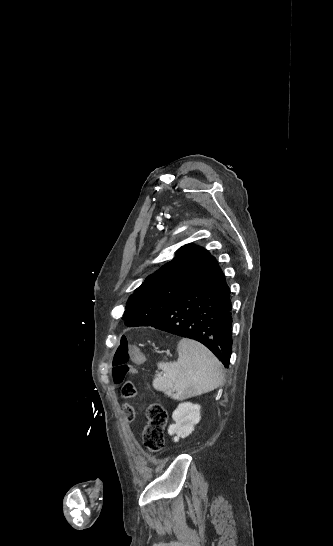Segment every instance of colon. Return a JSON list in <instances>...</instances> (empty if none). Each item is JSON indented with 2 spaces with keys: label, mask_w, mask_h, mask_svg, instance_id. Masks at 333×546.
<instances>
[{
  "label": "colon",
  "mask_w": 333,
  "mask_h": 546,
  "mask_svg": "<svg viewBox=\"0 0 333 546\" xmlns=\"http://www.w3.org/2000/svg\"><path fill=\"white\" fill-rule=\"evenodd\" d=\"M130 344L122 339L118 345L113 358V380L115 383H122L128 375H134L136 368L129 364ZM138 392V387L133 381H126L122 387V397L133 400ZM147 425L143 431V439L146 447L151 453H160L166 443L165 428L168 422L167 411L159 404H151L146 409Z\"/></svg>",
  "instance_id": "5ec220e1"
}]
</instances>
